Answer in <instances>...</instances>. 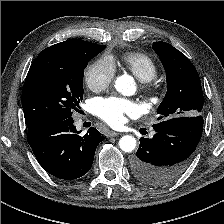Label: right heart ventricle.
Wrapping results in <instances>:
<instances>
[{
    "label": "right heart ventricle",
    "instance_id": "right-heart-ventricle-1",
    "mask_svg": "<svg viewBox=\"0 0 224 224\" xmlns=\"http://www.w3.org/2000/svg\"><path fill=\"white\" fill-rule=\"evenodd\" d=\"M122 65L139 81L146 82L154 79L158 74L156 62L142 52H126L121 57Z\"/></svg>",
    "mask_w": 224,
    "mask_h": 224
}]
</instances>
